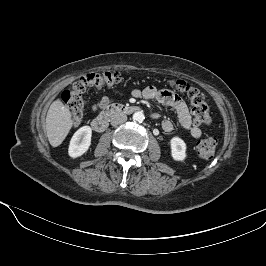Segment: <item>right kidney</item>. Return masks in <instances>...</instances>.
Masks as SVG:
<instances>
[{"label": "right kidney", "instance_id": "ca27d5eb", "mask_svg": "<svg viewBox=\"0 0 266 266\" xmlns=\"http://www.w3.org/2000/svg\"><path fill=\"white\" fill-rule=\"evenodd\" d=\"M92 129L83 126L71 138L68 153L72 158H77L86 153L91 145Z\"/></svg>", "mask_w": 266, "mask_h": 266}]
</instances>
